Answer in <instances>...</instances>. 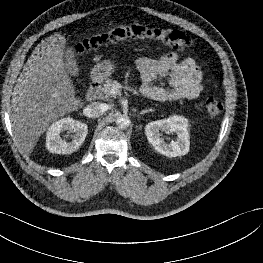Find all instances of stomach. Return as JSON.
<instances>
[{"mask_svg": "<svg viewBox=\"0 0 263 263\" xmlns=\"http://www.w3.org/2000/svg\"><path fill=\"white\" fill-rule=\"evenodd\" d=\"M115 71V65L112 61L103 60L94 67L92 71V79L95 81H103L110 77Z\"/></svg>", "mask_w": 263, "mask_h": 263, "instance_id": "obj_1", "label": "stomach"}]
</instances>
